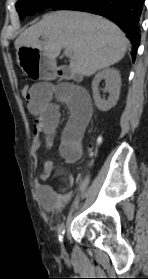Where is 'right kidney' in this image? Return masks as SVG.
I'll return each instance as SVG.
<instances>
[{
	"instance_id": "obj_1",
	"label": "right kidney",
	"mask_w": 148,
	"mask_h": 279,
	"mask_svg": "<svg viewBox=\"0 0 148 279\" xmlns=\"http://www.w3.org/2000/svg\"><path fill=\"white\" fill-rule=\"evenodd\" d=\"M101 80H105V89L109 92L107 100L101 99L99 93L98 86ZM120 87L121 77L119 71L114 68L104 69L95 75L92 81V91L95 104L100 111H109L116 105L119 99Z\"/></svg>"
}]
</instances>
